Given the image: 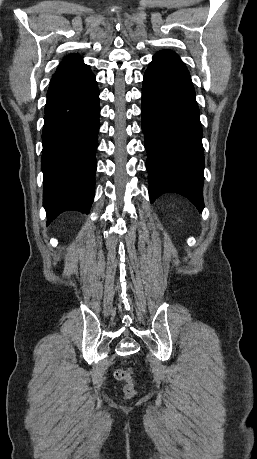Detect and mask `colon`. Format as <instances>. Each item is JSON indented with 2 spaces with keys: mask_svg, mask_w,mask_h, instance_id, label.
<instances>
[{
  "mask_svg": "<svg viewBox=\"0 0 257 459\" xmlns=\"http://www.w3.org/2000/svg\"><path fill=\"white\" fill-rule=\"evenodd\" d=\"M114 377L119 381L126 382L124 389H123L124 395L126 398H131L135 395L134 381L129 372L123 369H117L114 373Z\"/></svg>",
  "mask_w": 257,
  "mask_h": 459,
  "instance_id": "1",
  "label": "colon"
}]
</instances>
